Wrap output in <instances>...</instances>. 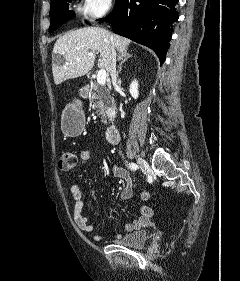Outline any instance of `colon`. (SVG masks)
<instances>
[{"label": "colon", "instance_id": "5ec220e1", "mask_svg": "<svg viewBox=\"0 0 240 281\" xmlns=\"http://www.w3.org/2000/svg\"><path fill=\"white\" fill-rule=\"evenodd\" d=\"M78 157L73 151H65L59 159V168L63 171H70L77 167Z\"/></svg>", "mask_w": 240, "mask_h": 281}]
</instances>
